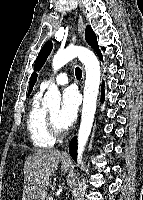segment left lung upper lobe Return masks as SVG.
<instances>
[{"label": "left lung upper lobe", "instance_id": "obj_1", "mask_svg": "<svg viewBox=\"0 0 143 200\" xmlns=\"http://www.w3.org/2000/svg\"><path fill=\"white\" fill-rule=\"evenodd\" d=\"M86 41L87 43L96 51L99 47L97 44V37L90 26H86ZM53 44L52 42H47L41 49L38 54V57L35 62V69L40 70L43 64L45 63L47 57L49 56L52 50Z\"/></svg>", "mask_w": 143, "mask_h": 200}]
</instances>
